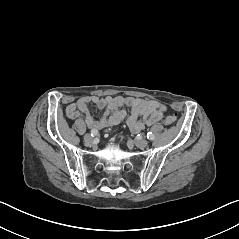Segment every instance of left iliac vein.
Masks as SVG:
<instances>
[{
	"label": "left iliac vein",
	"mask_w": 239,
	"mask_h": 239,
	"mask_svg": "<svg viewBox=\"0 0 239 239\" xmlns=\"http://www.w3.org/2000/svg\"><path fill=\"white\" fill-rule=\"evenodd\" d=\"M134 143L138 148H145L148 145V141L145 139L135 140Z\"/></svg>",
	"instance_id": "1"
}]
</instances>
